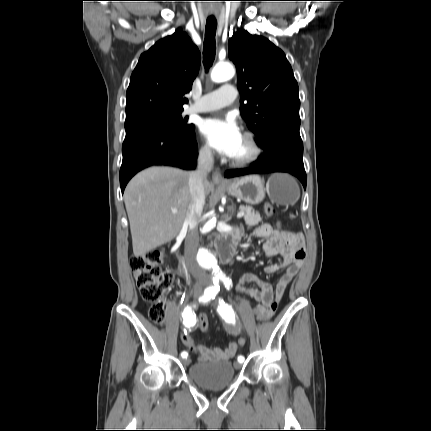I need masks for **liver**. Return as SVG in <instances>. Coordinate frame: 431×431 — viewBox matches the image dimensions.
Wrapping results in <instances>:
<instances>
[{
	"mask_svg": "<svg viewBox=\"0 0 431 431\" xmlns=\"http://www.w3.org/2000/svg\"><path fill=\"white\" fill-rule=\"evenodd\" d=\"M189 174L172 167H151L128 183L124 202L136 257L170 242L180 232L191 202ZM203 185L208 195L213 185L207 179Z\"/></svg>",
	"mask_w": 431,
	"mask_h": 431,
	"instance_id": "1",
	"label": "liver"
}]
</instances>
